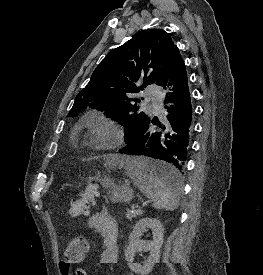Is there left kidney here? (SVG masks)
<instances>
[{
  "mask_svg": "<svg viewBox=\"0 0 263 275\" xmlns=\"http://www.w3.org/2000/svg\"><path fill=\"white\" fill-rule=\"evenodd\" d=\"M147 229H151L153 234V240L148 243L140 240V236H142ZM163 231V225L158 219L142 218L136 223L129 236V244L125 250V259L131 271L139 275H147L152 271L154 265L158 263L160 259ZM141 251H149V256L143 265L134 263L135 253Z\"/></svg>",
  "mask_w": 263,
  "mask_h": 275,
  "instance_id": "5707ae66",
  "label": "left kidney"
}]
</instances>
